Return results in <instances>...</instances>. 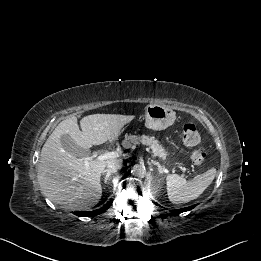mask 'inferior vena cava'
<instances>
[{"label":"inferior vena cava","instance_id":"obj_1","mask_svg":"<svg viewBox=\"0 0 261 261\" xmlns=\"http://www.w3.org/2000/svg\"><path fill=\"white\" fill-rule=\"evenodd\" d=\"M122 167V161L120 159H114L108 162L107 169L110 173H115Z\"/></svg>","mask_w":261,"mask_h":261}]
</instances>
